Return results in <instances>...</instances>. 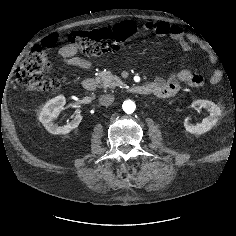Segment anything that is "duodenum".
<instances>
[{"label":"duodenum","instance_id":"obj_1","mask_svg":"<svg viewBox=\"0 0 236 236\" xmlns=\"http://www.w3.org/2000/svg\"><path fill=\"white\" fill-rule=\"evenodd\" d=\"M82 86L87 91H94L97 88V82L92 77H87L83 80ZM129 92L137 95H149L153 92V88L148 85H133L129 87Z\"/></svg>","mask_w":236,"mask_h":236}]
</instances>
